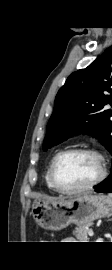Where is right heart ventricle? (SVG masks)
<instances>
[{
    "mask_svg": "<svg viewBox=\"0 0 112 270\" xmlns=\"http://www.w3.org/2000/svg\"><path fill=\"white\" fill-rule=\"evenodd\" d=\"M49 168H50V165L48 166V168L46 169L45 171V175H44V179H45V183H46V186L48 187V189L50 190H55L54 187L52 186L51 182H50V179H49Z\"/></svg>",
    "mask_w": 112,
    "mask_h": 270,
    "instance_id": "right-heart-ventricle-1",
    "label": "right heart ventricle"
}]
</instances>
